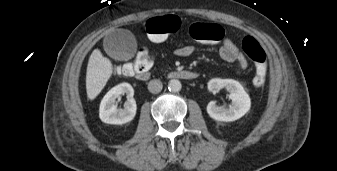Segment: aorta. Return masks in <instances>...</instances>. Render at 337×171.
<instances>
[{
	"instance_id": "obj_1",
	"label": "aorta",
	"mask_w": 337,
	"mask_h": 171,
	"mask_svg": "<svg viewBox=\"0 0 337 171\" xmlns=\"http://www.w3.org/2000/svg\"><path fill=\"white\" fill-rule=\"evenodd\" d=\"M182 88L181 82L177 79H171L168 82V89L171 92H179Z\"/></svg>"
}]
</instances>
